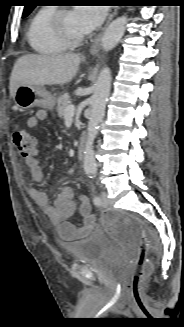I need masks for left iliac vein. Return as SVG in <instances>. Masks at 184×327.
I'll return each instance as SVG.
<instances>
[{"label":"left iliac vein","instance_id":"4c4485c4","mask_svg":"<svg viewBox=\"0 0 184 327\" xmlns=\"http://www.w3.org/2000/svg\"><path fill=\"white\" fill-rule=\"evenodd\" d=\"M100 197H101V204L103 206H108L109 205V200H108V197H107V193L104 192V191L101 192Z\"/></svg>","mask_w":184,"mask_h":327}]
</instances>
